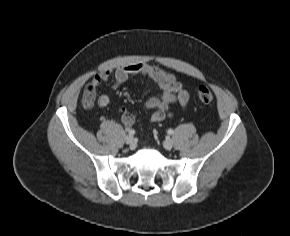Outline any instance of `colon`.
I'll use <instances>...</instances> for the list:
<instances>
[{
    "mask_svg": "<svg viewBox=\"0 0 290 236\" xmlns=\"http://www.w3.org/2000/svg\"><path fill=\"white\" fill-rule=\"evenodd\" d=\"M197 98L202 104H209L213 101V93L212 91L204 85H201L197 89ZM97 100V92L96 89L91 85H87L82 94L83 104L88 107H94Z\"/></svg>",
    "mask_w": 290,
    "mask_h": 236,
    "instance_id": "obj_1",
    "label": "colon"
}]
</instances>
